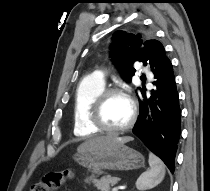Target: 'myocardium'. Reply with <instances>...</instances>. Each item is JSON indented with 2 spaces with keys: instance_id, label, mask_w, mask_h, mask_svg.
Returning <instances> with one entry per match:
<instances>
[{
  "instance_id": "f54148a6",
  "label": "myocardium",
  "mask_w": 210,
  "mask_h": 191,
  "mask_svg": "<svg viewBox=\"0 0 210 191\" xmlns=\"http://www.w3.org/2000/svg\"><path fill=\"white\" fill-rule=\"evenodd\" d=\"M122 95L128 99L131 105V116L127 124H125L122 127L118 128H111L106 125V123L103 120L102 117V111L103 107L107 101V99L112 96V95ZM137 104L136 102L127 94L125 93L122 89L118 87H109L103 89L93 100L89 114H88V120L89 123L97 130L106 132V133H111V134H118L122 133L125 131L130 130L137 119Z\"/></svg>"
}]
</instances>
